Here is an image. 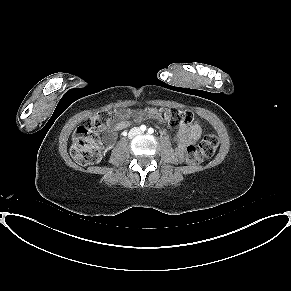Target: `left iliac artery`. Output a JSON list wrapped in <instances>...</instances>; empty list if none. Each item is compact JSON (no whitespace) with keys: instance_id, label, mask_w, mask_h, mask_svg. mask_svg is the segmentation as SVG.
Instances as JSON below:
<instances>
[{"instance_id":"obj_1","label":"left iliac artery","mask_w":291,"mask_h":291,"mask_svg":"<svg viewBox=\"0 0 291 291\" xmlns=\"http://www.w3.org/2000/svg\"><path fill=\"white\" fill-rule=\"evenodd\" d=\"M148 133H149V134L154 133V129H153V128H149V129H148Z\"/></svg>"}]
</instances>
